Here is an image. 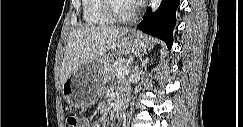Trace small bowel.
<instances>
[{"label": "small bowel", "instance_id": "small-bowel-1", "mask_svg": "<svg viewBox=\"0 0 243 127\" xmlns=\"http://www.w3.org/2000/svg\"><path fill=\"white\" fill-rule=\"evenodd\" d=\"M84 127H88V123L86 120H83Z\"/></svg>", "mask_w": 243, "mask_h": 127}]
</instances>
